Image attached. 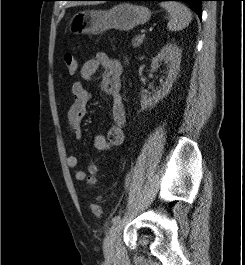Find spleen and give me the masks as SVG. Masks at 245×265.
<instances>
[{"label": "spleen", "instance_id": "obj_1", "mask_svg": "<svg viewBox=\"0 0 245 265\" xmlns=\"http://www.w3.org/2000/svg\"><path fill=\"white\" fill-rule=\"evenodd\" d=\"M160 6L170 14V21L167 27L170 31H179L189 25L192 20V13L179 2H161Z\"/></svg>", "mask_w": 245, "mask_h": 265}]
</instances>
